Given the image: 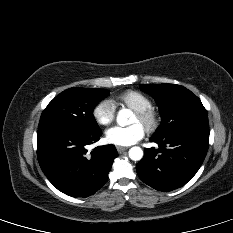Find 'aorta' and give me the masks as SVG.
Instances as JSON below:
<instances>
[{
    "instance_id": "obj_1",
    "label": "aorta",
    "mask_w": 233,
    "mask_h": 233,
    "mask_svg": "<svg viewBox=\"0 0 233 233\" xmlns=\"http://www.w3.org/2000/svg\"><path fill=\"white\" fill-rule=\"evenodd\" d=\"M131 117H132V112L129 109H122L118 112L117 123L120 126L124 127L130 124ZM129 157L131 160L139 161L143 157V150L138 146L132 147L129 150Z\"/></svg>"
}]
</instances>
